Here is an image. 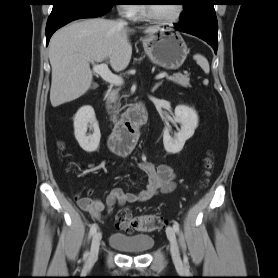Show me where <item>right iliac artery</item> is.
<instances>
[{"instance_id": "right-iliac-artery-1", "label": "right iliac artery", "mask_w": 278, "mask_h": 278, "mask_svg": "<svg viewBox=\"0 0 278 278\" xmlns=\"http://www.w3.org/2000/svg\"><path fill=\"white\" fill-rule=\"evenodd\" d=\"M97 228H98V226H97V224H93L92 226H91V228H90V236H92V235H94L95 233H96V231H97ZM87 255H88V253H85V256L87 257Z\"/></svg>"}]
</instances>
